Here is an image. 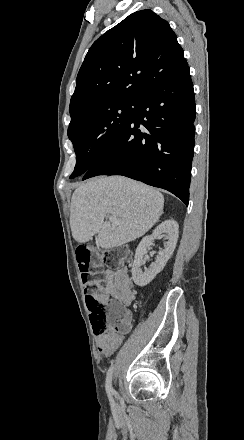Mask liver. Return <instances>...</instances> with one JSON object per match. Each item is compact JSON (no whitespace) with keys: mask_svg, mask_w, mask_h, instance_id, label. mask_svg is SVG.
Wrapping results in <instances>:
<instances>
[{"mask_svg":"<svg viewBox=\"0 0 244 440\" xmlns=\"http://www.w3.org/2000/svg\"><path fill=\"white\" fill-rule=\"evenodd\" d=\"M161 192L124 176L90 178L71 198L70 226L74 240L83 244L98 234V248H117L144 236L163 214ZM107 214L121 224L104 222Z\"/></svg>","mask_w":244,"mask_h":440,"instance_id":"liver-1","label":"liver"}]
</instances>
